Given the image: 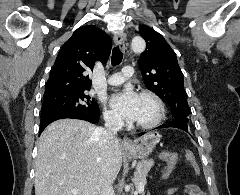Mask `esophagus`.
<instances>
[{
    "label": "esophagus",
    "mask_w": 240,
    "mask_h": 195,
    "mask_svg": "<svg viewBox=\"0 0 240 195\" xmlns=\"http://www.w3.org/2000/svg\"><path fill=\"white\" fill-rule=\"evenodd\" d=\"M125 39H126V34L124 32H120V33H118L114 36V43L117 46H121L125 42ZM122 144H123L124 148L131 149L132 145H133V142L130 138L124 137L123 141H122Z\"/></svg>",
    "instance_id": "esophagus-1"
}]
</instances>
